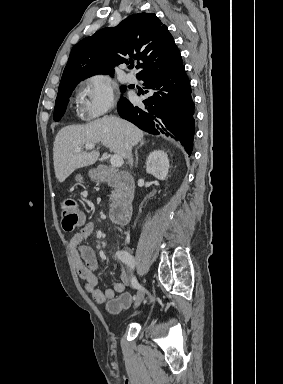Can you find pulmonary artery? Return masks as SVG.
<instances>
[{"label":"pulmonary artery","instance_id":"pulmonary-artery-1","mask_svg":"<svg viewBox=\"0 0 283 384\" xmlns=\"http://www.w3.org/2000/svg\"><path fill=\"white\" fill-rule=\"evenodd\" d=\"M125 80H126V82L131 83V84L138 83V80H137L136 76L134 74H132V73H129V72L126 73Z\"/></svg>","mask_w":283,"mask_h":384}]
</instances>
